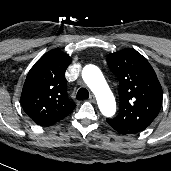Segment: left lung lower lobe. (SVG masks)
Here are the masks:
<instances>
[{"label":"left lung lower lobe","instance_id":"0a47b994","mask_svg":"<svg viewBox=\"0 0 171 171\" xmlns=\"http://www.w3.org/2000/svg\"><path fill=\"white\" fill-rule=\"evenodd\" d=\"M107 122L117 132H119L120 134H125V135L139 133L149 126V125H142V124H127L124 126L116 127V126L111 125V121L109 119H107Z\"/></svg>","mask_w":171,"mask_h":171}]
</instances>
